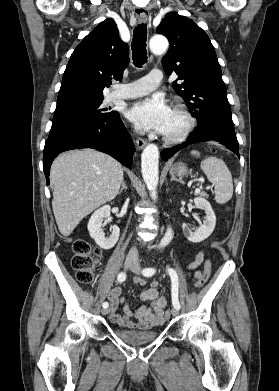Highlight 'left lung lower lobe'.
Listing matches in <instances>:
<instances>
[{
	"label": "left lung lower lobe",
	"instance_id": "left-lung-lower-lobe-1",
	"mask_svg": "<svg viewBox=\"0 0 279 391\" xmlns=\"http://www.w3.org/2000/svg\"><path fill=\"white\" fill-rule=\"evenodd\" d=\"M218 140L231 151L239 156V145L234 131V127L227 126L218 122H207L198 127L196 131L189 134V138L182 144L173 148L164 149L161 152L163 160L169 159L174 153L182 148L203 141Z\"/></svg>",
	"mask_w": 279,
	"mask_h": 391
}]
</instances>
